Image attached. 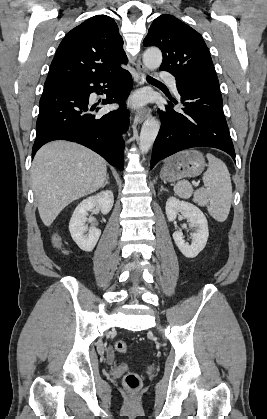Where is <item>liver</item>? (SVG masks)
<instances>
[{"instance_id":"6515ba94","label":"liver","mask_w":267,"mask_h":419,"mask_svg":"<svg viewBox=\"0 0 267 419\" xmlns=\"http://www.w3.org/2000/svg\"><path fill=\"white\" fill-rule=\"evenodd\" d=\"M31 176L40 218L50 226L71 202L100 189L108 175L105 160L92 150L54 141L36 153Z\"/></svg>"}]
</instances>
